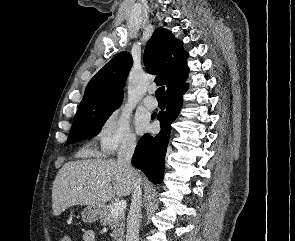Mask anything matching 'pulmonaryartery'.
Wrapping results in <instances>:
<instances>
[{"instance_id":"obj_1","label":"pulmonary artery","mask_w":295,"mask_h":241,"mask_svg":"<svg viewBox=\"0 0 295 241\" xmlns=\"http://www.w3.org/2000/svg\"><path fill=\"white\" fill-rule=\"evenodd\" d=\"M152 94L153 90L149 89L148 95L143 100L144 105L150 110H153L157 107V101L153 98Z\"/></svg>"}]
</instances>
